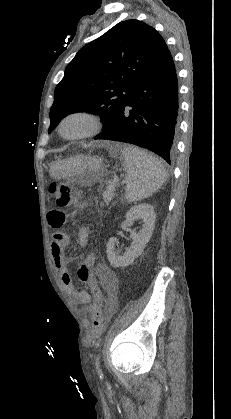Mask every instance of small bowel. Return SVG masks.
Returning <instances> with one entry per match:
<instances>
[{"label": "small bowel", "instance_id": "obj_1", "mask_svg": "<svg viewBox=\"0 0 231 419\" xmlns=\"http://www.w3.org/2000/svg\"><path fill=\"white\" fill-rule=\"evenodd\" d=\"M74 217V214H65L61 211H52L48 214V222L54 228H59L61 231H65L67 226L66 222ZM58 222L62 224L58 226ZM89 229L83 227L79 233V242L82 246L88 244ZM69 243V237L64 232H56L52 237L51 242V255L55 268L58 271L59 278L65 290L81 305L86 306L91 302L88 301L90 294L84 290L77 289L74 287L71 279V275L68 269L69 259L65 255V249ZM92 265V264H91ZM96 273L101 281L103 288L107 294V305L109 308V314L113 313L116 306V280L112 277L111 273L106 267L100 264L96 268Z\"/></svg>", "mask_w": 231, "mask_h": 419}]
</instances>
